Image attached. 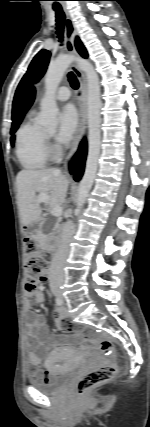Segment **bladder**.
<instances>
[{"label":"bladder","mask_w":150,"mask_h":427,"mask_svg":"<svg viewBox=\"0 0 150 427\" xmlns=\"http://www.w3.org/2000/svg\"><path fill=\"white\" fill-rule=\"evenodd\" d=\"M75 372L74 368L53 369L50 368L47 376L42 379H30V384L41 392L52 395L61 392L71 376Z\"/></svg>","instance_id":"1"}]
</instances>
